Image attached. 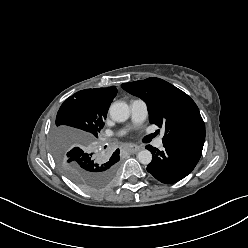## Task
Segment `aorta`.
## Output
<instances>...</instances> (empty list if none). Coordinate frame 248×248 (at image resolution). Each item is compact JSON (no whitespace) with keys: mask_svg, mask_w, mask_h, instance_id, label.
<instances>
[{"mask_svg":"<svg viewBox=\"0 0 248 248\" xmlns=\"http://www.w3.org/2000/svg\"><path fill=\"white\" fill-rule=\"evenodd\" d=\"M109 113L114 121L124 122L130 116V109L127 103L117 101L110 106ZM137 159L141 164L147 165L152 160V154L149 150H141L137 154Z\"/></svg>","mask_w":248,"mask_h":248,"instance_id":"aorta-1","label":"aorta"}]
</instances>
